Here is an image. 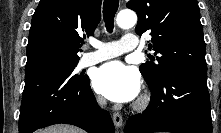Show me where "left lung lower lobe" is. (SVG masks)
<instances>
[{"label":"left lung lower lobe","mask_w":221,"mask_h":133,"mask_svg":"<svg viewBox=\"0 0 221 133\" xmlns=\"http://www.w3.org/2000/svg\"><path fill=\"white\" fill-rule=\"evenodd\" d=\"M148 85L151 102L129 117L125 133H212L207 71L176 68Z\"/></svg>","instance_id":"obj_1"}]
</instances>
